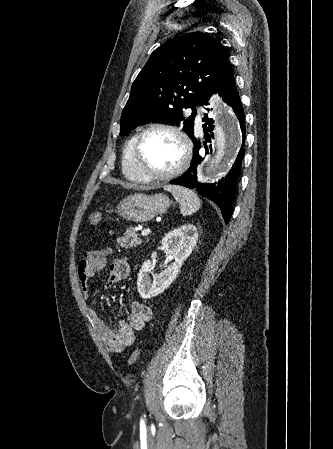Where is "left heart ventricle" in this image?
Segmentation results:
<instances>
[{
  "mask_svg": "<svg viewBox=\"0 0 333 449\" xmlns=\"http://www.w3.org/2000/svg\"><path fill=\"white\" fill-rule=\"evenodd\" d=\"M181 157L179 141L165 131H152L142 142L140 163L147 173H167L178 165Z\"/></svg>",
  "mask_w": 333,
  "mask_h": 449,
  "instance_id": "left-heart-ventricle-1",
  "label": "left heart ventricle"
}]
</instances>
